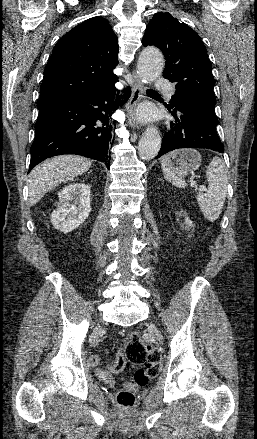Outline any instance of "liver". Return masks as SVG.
<instances>
[{"instance_id":"obj_1","label":"liver","mask_w":257,"mask_h":439,"mask_svg":"<svg viewBox=\"0 0 257 439\" xmlns=\"http://www.w3.org/2000/svg\"><path fill=\"white\" fill-rule=\"evenodd\" d=\"M91 167V161L77 155H60L36 166L29 175V201L37 204L58 184L73 179Z\"/></svg>"}]
</instances>
